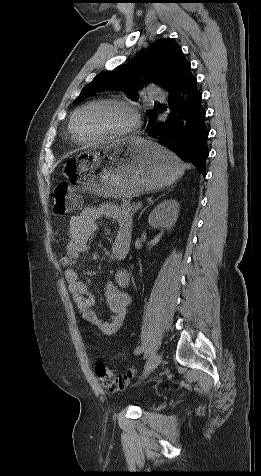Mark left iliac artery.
I'll return each instance as SVG.
<instances>
[{"instance_id":"1","label":"left iliac artery","mask_w":261,"mask_h":476,"mask_svg":"<svg viewBox=\"0 0 261 476\" xmlns=\"http://www.w3.org/2000/svg\"><path fill=\"white\" fill-rule=\"evenodd\" d=\"M143 350H144V347L138 346V347L135 349L134 353H135V354H140V353L143 352Z\"/></svg>"}]
</instances>
